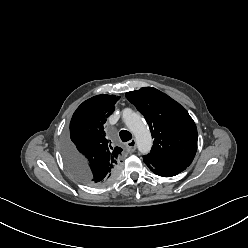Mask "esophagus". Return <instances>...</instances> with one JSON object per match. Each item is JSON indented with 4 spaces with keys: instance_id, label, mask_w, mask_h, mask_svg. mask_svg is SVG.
I'll return each mask as SVG.
<instances>
[{
    "instance_id": "1",
    "label": "esophagus",
    "mask_w": 248,
    "mask_h": 248,
    "mask_svg": "<svg viewBox=\"0 0 248 248\" xmlns=\"http://www.w3.org/2000/svg\"><path fill=\"white\" fill-rule=\"evenodd\" d=\"M126 147L128 149V151L133 152L136 150V140L135 139H131L130 141H128L126 143Z\"/></svg>"
}]
</instances>
